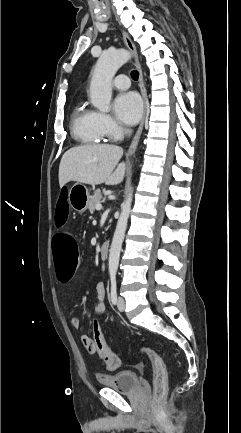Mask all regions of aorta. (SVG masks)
<instances>
[{"label": "aorta", "mask_w": 241, "mask_h": 433, "mask_svg": "<svg viewBox=\"0 0 241 433\" xmlns=\"http://www.w3.org/2000/svg\"><path fill=\"white\" fill-rule=\"evenodd\" d=\"M131 58L126 49L105 51L99 57L90 83V98L94 107L102 112L110 111L112 98V79L117 70ZM133 188L121 205V214L117 222L109 250V274L115 276L118 270L120 252L131 211Z\"/></svg>", "instance_id": "obj_1"}]
</instances>
